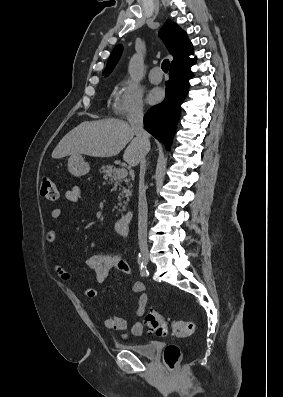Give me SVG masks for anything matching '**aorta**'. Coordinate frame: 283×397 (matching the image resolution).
Masks as SVG:
<instances>
[{
	"mask_svg": "<svg viewBox=\"0 0 283 397\" xmlns=\"http://www.w3.org/2000/svg\"><path fill=\"white\" fill-rule=\"evenodd\" d=\"M128 73L132 80L139 82L143 78V62L138 55H134L128 66Z\"/></svg>",
	"mask_w": 283,
	"mask_h": 397,
	"instance_id": "762f6f07",
	"label": "aorta"
}]
</instances>
